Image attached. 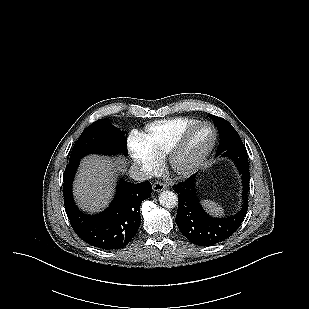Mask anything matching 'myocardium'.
<instances>
[{
  "instance_id": "f54148a6",
  "label": "myocardium",
  "mask_w": 309,
  "mask_h": 309,
  "mask_svg": "<svg viewBox=\"0 0 309 309\" xmlns=\"http://www.w3.org/2000/svg\"><path fill=\"white\" fill-rule=\"evenodd\" d=\"M206 126L212 131V140L210 144L197 156L185 160V155L188 150L191 138L198 127ZM217 141V131L215 127L207 121H197L192 124L183 133L180 139L174 144L169 153L167 154V167L169 171L176 176H188L199 168L206 158L213 151Z\"/></svg>"
}]
</instances>
